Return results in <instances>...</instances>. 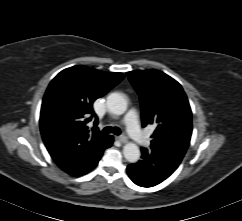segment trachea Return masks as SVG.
Segmentation results:
<instances>
[{
  "label": "trachea",
  "instance_id": "trachea-1",
  "mask_svg": "<svg viewBox=\"0 0 242 221\" xmlns=\"http://www.w3.org/2000/svg\"><path fill=\"white\" fill-rule=\"evenodd\" d=\"M103 133H114L115 135H120L121 134V131L119 128L117 127H105L103 130H102Z\"/></svg>",
  "mask_w": 242,
  "mask_h": 221
}]
</instances>
